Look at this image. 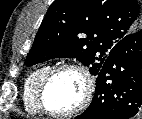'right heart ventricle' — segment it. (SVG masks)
I'll list each match as a JSON object with an SVG mask.
<instances>
[{"mask_svg":"<svg viewBox=\"0 0 142 119\" xmlns=\"http://www.w3.org/2000/svg\"><path fill=\"white\" fill-rule=\"evenodd\" d=\"M51 68L49 64L40 66L33 70L25 80L23 87V102L25 109L31 114L41 113L37 102L38 87Z\"/></svg>","mask_w":142,"mask_h":119,"instance_id":"obj_1","label":"right heart ventricle"}]
</instances>
